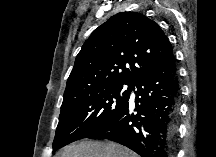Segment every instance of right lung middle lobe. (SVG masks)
I'll return each instance as SVG.
<instances>
[{"mask_svg":"<svg viewBox=\"0 0 216 157\" xmlns=\"http://www.w3.org/2000/svg\"><path fill=\"white\" fill-rule=\"evenodd\" d=\"M131 85L85 92L61 106L53 151L87 138L109 123L127 103Z\"/></svg>","mask_w":216,"mask_h":157,"instance_id":"dd1d6c3e","label":"right lung middle lobe"}]
</instances>
